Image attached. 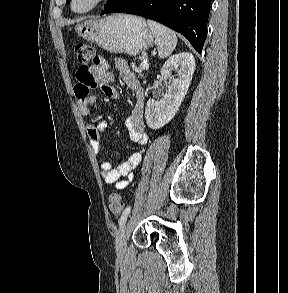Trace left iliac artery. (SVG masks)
Instances as JSON below:
<instances>
[{
  "mask_svg": "<svg viewBox=\"0 0 288 293\" xmlns=\"http://www.w3.org/2000/svg\"><path fill=\"white\" fill-rule=\"evenodd\" d=\"M130 209H131V207L128 206V207H126V209L123 211V213H122V215H121V217H120V219H119V225H120V226H122V225L125 223V221H126L128 215H129V213H130Z\"/></svg>",
  "mask_w": 288,
  "mask_h": 293,
  "instance_id": "44dca946",
  "label": "left iliac artery"
}]
</instances>
